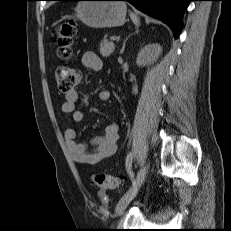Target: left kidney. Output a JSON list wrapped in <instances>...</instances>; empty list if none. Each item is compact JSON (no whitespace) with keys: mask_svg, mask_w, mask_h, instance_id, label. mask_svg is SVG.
<instances>
[{"mask_svg":"<svg viewBox=\"0 0 231 231\" xmlns=\"http://www.w3.org/2000/svg\"><path fill=\"white\" fill-rule=\"evenodd\" d=\"M162 52L159 44H148L138 53L136 64L138 66H145L155 61Z\"/></svg>","mask_w":231,"mask_h":231,"instance_id":"obj_1","label":"left kidney"}]
</instances>
